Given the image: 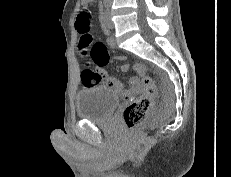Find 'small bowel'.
Listing matches in <instances>:
<instances>
[{
  "label": "small bowel",
  "instance_id": "c3829d8e",
  "mask_svg": "<svg viewBox=\"0 0 231 177\" xmlns=\"http://www.w3.org/2000/svg\"><path fill=\"white\" fill-rule=\"evenodd\" d=\"M90 1H92V0H83V7L87 6V3ZM105 35H106L107 44L110 46H114V38L112 37V35L106 30H105ZM117 58L118 59H124L123 56H118ZM103 66H98V74L100 76V82L98 84L101 83V84H104V85H106L110 88H113L119 92H124L123 84L117 78H115L110 73H108L106 70H104ZM128 69H129L128 65L122 66L123 71L126 72ZM134 69L140 75H143L145 72V67L142 64L134 65ZM82 82L84 83L85 86H91L90 84H87L85 82V80L83 79V76H82ZM139 86H140L139 79L132 78L130 81V89L128 91H126L125 93L130 94V93L136 91L139 88Z\"/></svg>",
  "mask_w": 231,
  "mask_h": 177
}]
</instances>
